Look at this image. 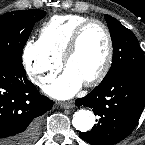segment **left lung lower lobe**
<instances>
[{
  "label": "left lung lower lobe",
  "instance_id": "obj_1",
  "mask_svg": "<svg viewBox=\"0 0 145 145\" xmlns=\"http://www.w3.org/2000/svg\"><path fill=\"white\" fill-rule=\"evenodd\" d=\"M77 106L92 108L98 123L80 137L92 145H113L135 128L145 106V76L124 73L100 83Z\"/></svg>",
  "mask_w": 145,
  "mask_h": 145
}]
</instances>
